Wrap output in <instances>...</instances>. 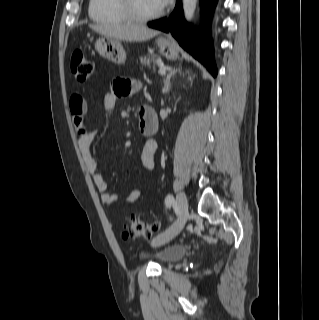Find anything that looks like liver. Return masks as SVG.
Wrapping results in <instances>:
<instances>
[{"instance_id": "liver-1", "label": "liver", "mask_w": 319, "mask_h": 320, "mask_svg": "<svg viewBox=\"0 0 319 320\" xmlns=\"http://www.w3.org/2000/svg\"><path fill=\"white\" fill-rule=\"evenodd\" d=\"M90 28L104 36L129 42L145 41L159 34L144 25H90Z\"/></svg>"}]
</instances>
